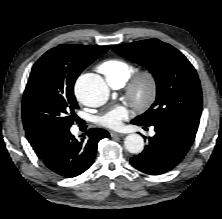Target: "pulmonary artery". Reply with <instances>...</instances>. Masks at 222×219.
I'll return each mask as SVG.
<instances>
[{
    "instance_id": "e3ab8cb5",
    "label": "pulmonary artery",
    "mask_w": 222,
    "mask_h": 219,
    "mask_svg": "<svg viewBox=\"0 0 222 219\" xmlns=\"http://www.w3.org/2000/svg\"><path fill=\"white\" fill-rule=\"evenodd\" d=\"M108 83L112 88L115 89L121 88L124 85L121 80H110Z\"/></svg>"
}]
</instances>
